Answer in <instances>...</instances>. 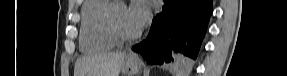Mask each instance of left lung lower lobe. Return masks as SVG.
Here are the masks:
<instances>
[{"label": "left lung lower lobe", "mask_w": 287, "mask_h": 76, "mask_svg": "<svg viewBox=\"0 0 287 76\" xmlns=\"http://www.w3.org/2000/svg\"><path fill=\"white\" fill-rule=\"evenodd\" d=\"M146 40L132 50L150 64L192 63L197 58L212 13V0H164Z\"/></svg>", "instance_id": "1"}]
</instances>
